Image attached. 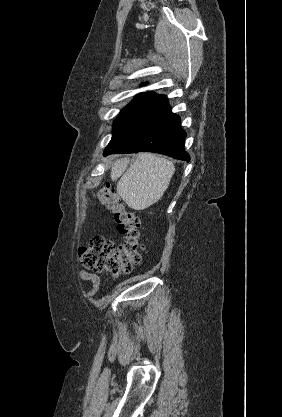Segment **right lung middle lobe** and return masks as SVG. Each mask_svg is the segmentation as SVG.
Listing matches in <instances>:
<instances>
[{
  "instance_id": "dd1d6c3e",
  "label": "right lung middle lobe",
  "mask_w": 282,
  "mask_h": 417,
  "mask_svg": "<svg viewBox=\"0 0 282 417\" xmlns=\"http://www.w3.org/2000/svg\"><path fill=\"white\" fill-rule=\"evenodd\" d=\"M161 95L139 94L119 114L113 125V136L139 118Z\"/></svg>"
}]
</instances>
